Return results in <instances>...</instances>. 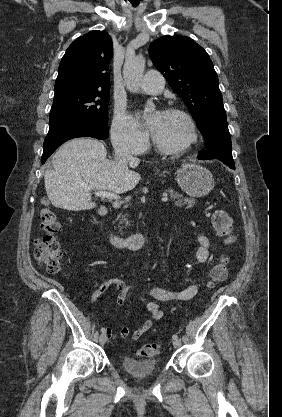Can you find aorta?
<instances>
[{
	"label": "aorta",
	"mask_w": 282,
	"mask_h": 417,
	"mask_svg": "<svg viewBox=\"0 0 282 417\" xmlns=\"http://www.w3.org/2000/svg\"><path fill=\"white\" fill-rule=\"evenodd\" d=\"M144 56H133V58H126L123 66V76L126 80L128 90L137 92L139 90V80L143 76L145 70ZM147 108H154V102H148Z\"/></svg>",
	"instance_id": "obj_1"
}]
</instances>
